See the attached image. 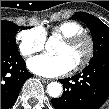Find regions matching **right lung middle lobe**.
I'll list each match as a JSON object with an SVG mask.
<instances>
[{
    "label": "right lung middle lobe",
    "instance_id": "dd1d6c3e",
    "mask_svg": "<svg viewBox=\"0 0 109 109\" xmlns=\"http://www.w3.org/2000/svg\"><path fill=\"white\" fill-rule=\"evenodd\" d=\"M20 28L25 29V27L17 26L10 21H1V51L19 53L15 35Z\"/></svg>",
    "mask_w": 109,
    "mask_h": 109
}]
</instances>
